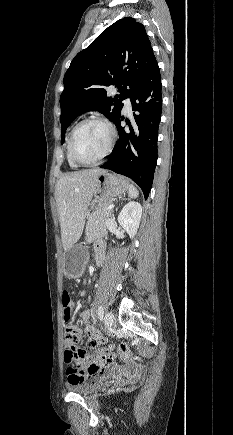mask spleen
Here are the masks:
<instances>
[{
	"instance_id": "3e777b00",
	"label": "spleen",
	"mask_w": 233,
	"mask_h": 435,
	"mask_svg": "<svg viewBox=\"0 0 233 435\" xmlns=\"http://www.w3.org/2000/svg\"><path fill=\"white\" fill-rule=\"evenodd\" d=\"M128 195L130 198H137L139 195V191L137 190V188L133 184L129 185Z\"/></svg>"
}]
</instances>
